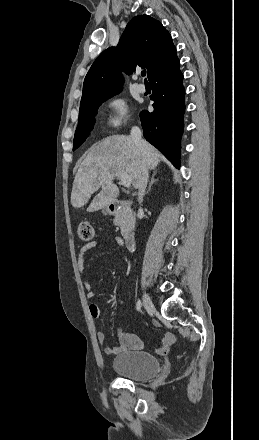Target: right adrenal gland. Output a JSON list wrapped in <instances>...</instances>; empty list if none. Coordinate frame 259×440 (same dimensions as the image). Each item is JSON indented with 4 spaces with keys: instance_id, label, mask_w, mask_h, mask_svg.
I'll use <instances>...</instances> for the list:
<instances>
[{
    "instance_id": "right-adrenal-gland-1",
    "label": "right adrenal gland",
    "mask_w": 259,
    "mask_h": 440,
    "mask_svg": "<svg viewBox=\"0 0 259 440\" xmlns=\"http://www.w3.org/2000/svg\"><path fill=\"white\" fill-rule=\"evenodd\" d=\"M156 174H157V171H154L153 174H152V177H151L148 189L146 191V194L149 193V191L151 190V187H152L153 183L158 181V179H155Z\"/></svg>"
}]
</instances>
